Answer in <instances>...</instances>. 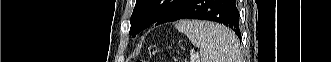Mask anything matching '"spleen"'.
<instances>
[{
    "label": "spleen",
    "mask_w": 331,
    "mask_h": 62,
    "mask_svg": "<svg viewBox=\"0 0 331 62\" xmlns=\"http://www.w3.org/2000/svg\"><path fill=\"white\" fill-rule=\"evenodd\" d=\"M175 27L200 47L197 62H241L238 40L227 27L200 20H181Z\"/></svg>",
    "instance_id": "obj_1"
}]
</instances>
